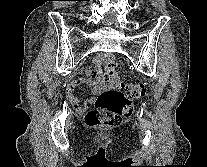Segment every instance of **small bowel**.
<instances>
[{
    "mask_svg": "<svg viewBox=\"0 0 207 167\" xmlns=\"http://www.w3.org/2000/svg\"><path fill=\"white\" fill-rule=\"evenodd\" d=\"M88 84L92 90L93 93H97L101 88V82L94 78L85 79L83 77L77 78L76 80H73L69 82L66 85V95L72 106L78 111L83 112L85 109L91 106V104L94 101V97L90 96L87 97L84 101V103H81L75 96L74 90L75 88L80 84Z\"/></svg>",
    "mask_w": 207,
    "mask_h": 167,
    "instance_id": "small-bowel-1",
    "label": "small bowel"
}]
</instances>
